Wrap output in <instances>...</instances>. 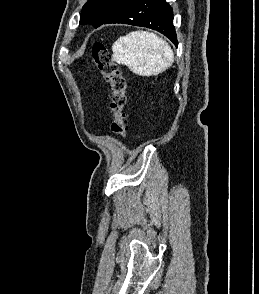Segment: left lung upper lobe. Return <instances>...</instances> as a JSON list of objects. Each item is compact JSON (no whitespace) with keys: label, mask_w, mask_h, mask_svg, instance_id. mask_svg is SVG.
<instances>
[{"label":"left lung upper lobe","mask_w":259,"mask_h":294,"mask_svg":"<svg viewBox=\"0 0 259 294\" xmlns=\"http://www.w3.org/2000/svg\"><path fill=\"white\" fill-rule=\"evenodd\" d=\"M125 0H88L80 15V24L101 26L112 10Z\"/></svg>","instance_id":"1"}]
</instances>
